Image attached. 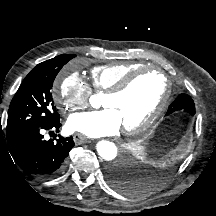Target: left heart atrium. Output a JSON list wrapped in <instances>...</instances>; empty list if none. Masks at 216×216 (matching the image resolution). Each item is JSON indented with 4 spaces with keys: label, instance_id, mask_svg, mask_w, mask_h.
Masks as SVG:
<instances>
[{
    "label": "left heart atrium",
    "instance_id": "39dd6f15",
    "mask_svg": "<svg viewBox=\"0 0 216 216\" xmlns=\"http://www.w3.org/2000/svg\"><path fill=\"white\" fill-rule=\"evenodd\" d=\"M66 128L88 137L109 136L119 132L121 121L113 109L105 107L100 111L72 114L66 122Z\"/></svg>",
    "mask_w": 216,
    "mask_h": 216
}]
</instances>
